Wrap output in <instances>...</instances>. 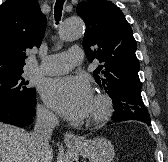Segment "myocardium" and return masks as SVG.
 Instances as JSON below:
<instances>
[{
	"instance_id": "1",
	"label": "myocardium",
	"mask_w": 168,
	"mask_h": 162,
	"mask_svg": "<svg viewBox=\"0 0 168 162\" xmlns=\"http://www.w3.org/2000/svg\"><path fill=\"white\" fill-rule=\"evenodd\" d=\"M97 104L96 112L89 117L88 124L100 125L111 116L113 111V103L106 94L99 93L94 97Z\"/></svg>"
}]
</instances>
